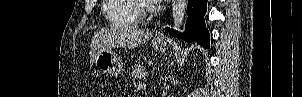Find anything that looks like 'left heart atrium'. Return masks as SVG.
I'll return each mask as SVG.
<instances>
[{
    "instance_id": "obj_1",
    "label": "left heart atrium",
    "mask_w": 302,
    "mask_h": 97,
    "mask_svg": "<svg viewBox=\"0 0 302 97\" xmlns=\"http://www.w3.org/2000/svg\"><path fill=\"white\" fill-rule=\"evenodd\" d=\"M147 2L149 4H156V3L160 2V0H147Z\"/></svg>"
}]
</instances>
